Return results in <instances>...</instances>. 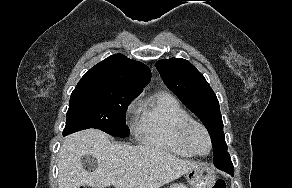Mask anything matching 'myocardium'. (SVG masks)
Masks as SVG:
<instances>
[{
    "label": "myocardium",
    "mask_w": 292,
    "mask_h": 188,
    "mask_svg": "<svg viewBox=\"0 0 292 188\" xmlns=\"http://www.w3.org/2000/svg\"><path fill=\"white\" fill-rule=\"evenodd\" d=\"M194 128L201 129L205 133V135L208 139L209 150L205 154H202V153H199L198 151H196V149L191 144L190 136H191V132ZM180 136H181V140H182L183 144L185 145V147L194 155L207 156L211 153V151L213 149V142H212V138H211L209 130L207 129V127L203 123L196 121L194 119L189 120L188 122H186L182 126Z\"/></svg>",
    "instance_id": "obj_1"
}]
</instances>
